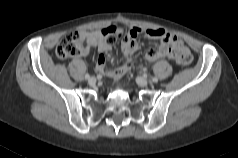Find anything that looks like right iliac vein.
I'll return each instance as SVG.
<instances>
[{
    "label": "right iliac vein",
    "mask_w": 238,
    "mask_h": 158,
    "mask_svg": "<svg viewBox=\"0 0 238 158\" xmlns=\"http://www.w3.org/2000/svg\"><path fill=\"white\" fill-rule=\"evenodd\" d=\"M88 83H89L90 85H94V84L96 83V78H95V77L89 78V79H88Z\"/></svg>",
    "instance_id": "1"
}]
</instances>
